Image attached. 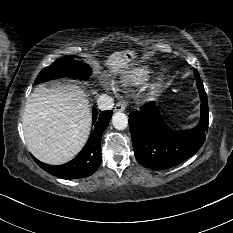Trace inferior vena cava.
<instances>
[{
  "mask_svg": "<svg viewBox=\"0 0 233 233\" xmlns=\"http://www.w3.org/2000/svg\"><path fill=\"white\" fill-rule=\"evenodd\" d=\"M97 105L100 110H111L114 106V100L108 95H101L97 100Z\"/></svg>",
  "mask_w": 233,
  "mask_h": 233,
  "instance_id": "obj_1",
  "label": "inferior vena cava"
}]
</instances>
